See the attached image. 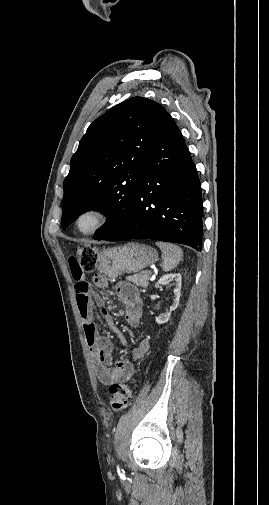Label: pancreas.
Listing matches in <instances>:
<instances>
[{
    "mask_svg": "<svg viewBox=\"0 0 269 505\" xmlns=\"http://www.w3.org/2000/svg\"><path fill=\"white\" fill-rule=\"evenodd\" d=\"M149 277H150L149 271H144L139 274L129 276L127 279L136 284V286L146 288L149 284Z\"/></svg>",
    "mask_w": 269,
    "mask_h": 505,
    "instance_id": "1",
    "label": "pancreas"
}]
</instances>
